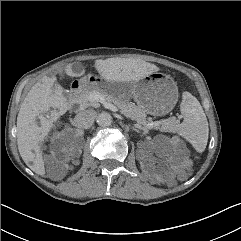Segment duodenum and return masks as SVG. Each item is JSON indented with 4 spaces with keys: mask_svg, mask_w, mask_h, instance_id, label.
Wrapping results in <instances>:
<instances>
[{
    "mask_svg": "<svg viewBox=\"0 0 241 241\" xmlns=\"http://www.w3.org/2000/svg\"><path fill=\"white\" fill-rule=\"evenodd\" d=\"M84 86H85L84 81L80 80V81L73 82V84L71 86V92H70L71 105H73L74 102L77 100V98L79 97L80 91L83 89Z\"/></svg>",
    "mask_w": 241,
    "mask_h": 241,
    "instance_id": "obj_1",
    "label": "duodenum"
}]
</instances>
